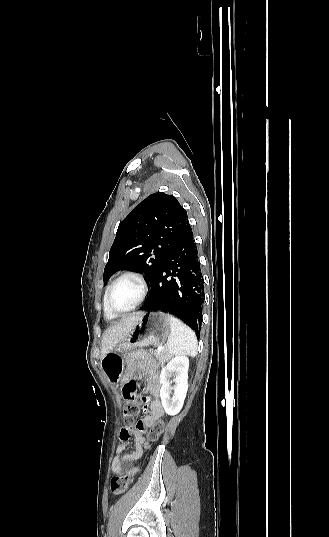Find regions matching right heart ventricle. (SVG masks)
Segmentation results:
<instances>
[{
	"instance_id": "right-heart-ventricle-1",
	"label": "right heart ventricle",
	"mask_w": 329,
	"mask_h": 537,
	"mask_svg": "<svg viewBox=\"0 0 329 537\" xmlns=\"http://www.w3.org/2000/svg\"><path fill=\"white\" fill-rule=\"evenodd\" d=\"M108 288L109 286L106 288L104 295H103V310L108 318L113 319L116 317V315L110 312V310L107 308V305H106V294H107Z\"/></svg>"
}]
</instances>
